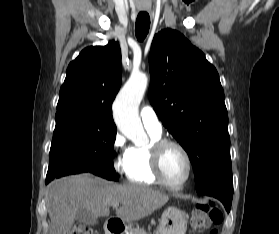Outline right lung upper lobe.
<instances>
[{
  "mask_svg": "<svg viewBox=\"0 0 279 234\" xmlns=\"http://www.w3.org/2000/svg\"><path fill=\"white\" fill-rule=\"evenodd\" d=\"M120 85L119 44L111 41L103 47H87L67 68L56 115L83 113L114 124L111 106Z\"/></svg>",
  "mask_w": 279,
  "mask_h": 234,
  "instance_id": "1",
  "label": "right lung upper lobe"
}]
</instances>
